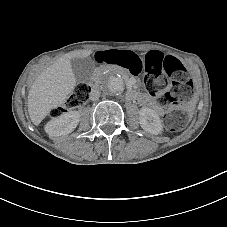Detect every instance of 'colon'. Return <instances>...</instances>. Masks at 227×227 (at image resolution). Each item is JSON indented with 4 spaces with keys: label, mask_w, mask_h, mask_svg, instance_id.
Segmentation results:
<instances>
[{
    "label": "colon",
    "mask_w": 227,
    "mask_h": 227,
    "mask_svg": "<svg viewBox=\"0 0 227 227\" xmlns=\"http://www.w3.org/2000/svg\"><path fill=\"white\" fill-rule=\"evenodd\" d=\"M95 59L99 63L123 67L133 75H137L145 69V85L157 97V101L161 105L176 107L192 94L193 84L188 77L186 68L172 56L163 57L155 52H149L142 58L131 51L111 50L97 52ZM163 73L173 83L169 91L165 90L166 80L163 77ZM89 92V85L79 84L65 103L53 110L52 115L58 116L70 109L85 105L89 98ZM185 121L186 115L177 109L169 111L164 116L165 126L170 131L179 130Z\"/></svg>",
    "instance_id": "obj_1"
}]
</instances>
